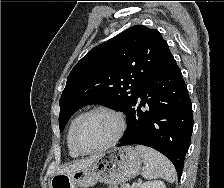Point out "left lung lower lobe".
<instances>
[{"label":"left lung lower lobe","mask_w":224,"mask_h":188,"mask_svg":"<svg viewBox=\"0 0 224 188\" xmlns=\"http://www.w3.org/2000/svg\"><path fill=\"white\" fill-rule=\"evenodd\" d=\"M192 129L191 101L180 68L173 60L141 87L118 147L140 144L158 150L171 160L180 179Z\"/></svg>","instance_id":"0a47b994"}]
</instances>
